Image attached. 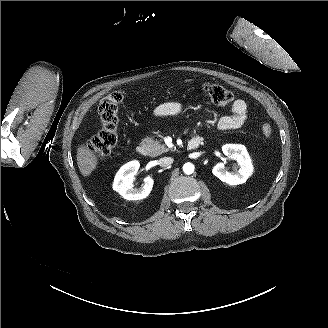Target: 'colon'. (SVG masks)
Returning <instances> with one entry per match:
<instances>
[{
    "instance_id": "obj_1",
    "label": "colon",
    "mask_w": 328,
    "mask_h": 328,
    "mask_svg": "<svg viewBox=\"0 0 328 328\" xmlns=\"http://www.w3.org/2000/svg\"><path fill=\"white\" fill-rule=\"evenodd\" d=\"M201 90L217 105H227L234 98L230 90L217 84L205 83ZM123 99L124 94L122 92L113 91L99 103L98 114L101 127L98 133L87 143V148L98 156L109 154L117 144L118 110ZM262 133L266 138H269L272 134L271 126L267 123L263 124Z\"/></svg>"
}]
</instances>
